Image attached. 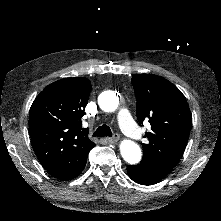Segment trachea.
Listing matches in <instances>:
<instances>
[{"mask_svg": "<svg viewBox=\"0 0 221 221\" xmlns=\"http://www.w3.org/2000/svg\"><path fill=\"white\" fill-rule=\"evenodd\" d=\"M104 136H108V137H112L113 133L110 129L109 126H107L106 124L99 126L96 131L93 133V137H104Z\"/></svg>", "mask_w": 221, "mask_h": 221, "instance_id": "obj_1", "label": "trachea"}]
</instances>
